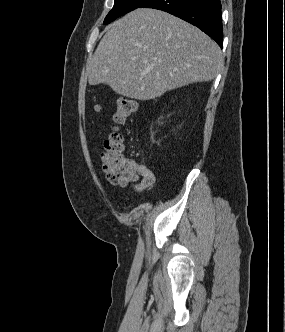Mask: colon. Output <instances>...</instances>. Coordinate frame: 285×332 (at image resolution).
<instances>
[{
  "label": "colon",
  "mask_w": 285,
  "mask_h": 332,
  "mask_svg": "<svg viewBox=\"0 0 285 332\" xmlns=\"http://www.w3.org/2000/svg\"><path fill=\"white\" fill-rule=\"evenodd\" d=\"M98 110V107H96ZM137 105L132 99L121 97L116 102L114 121L117 125L126 122L136 112ZM125 144L121 133L115 128L104 142L101 155L103 171L107 180L114 185L126 186L137 179L132 161L124 156Z\"/></svg>",
  "instance_id": "1"
}]
</instances>
